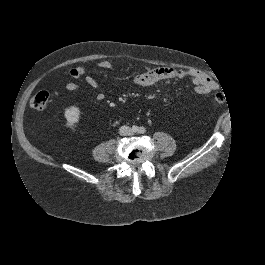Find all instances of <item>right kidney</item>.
<instances>
[{
    "instance_id": "ca27d5eb",
    "label": "right kidney",
    "mask_w": 265,
    "mask_h": 265,
    "mask_svg": "<svg viewBox=\"0 0 265 265\" xmlns=\"http://www.w3.org/2000/svg\"><path fill=\"white\" fill-rule=\"evenodd\" d=\"M64 118L66 119L65 126L69 129L75 130L81 118L80 108L77 106H70L64 111Z\"/></svg>"
}]
</instances>
